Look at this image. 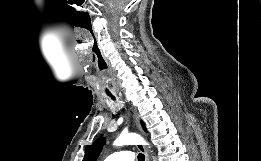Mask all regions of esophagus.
I'll use <instances>...</instances> for the list:
<instances>
[{
	"label": "esophagus",
	"mask_w": 261,
	"mask_h": 161,
	"mask_svg": "<svg viewBox=\"0 0 261 161\" xmlns=\"http://www.w3.org/2000/svg\"><path fill=\"white\" fill-rule=\"evenodd\" d=\"M133 119H134V124H135L136 129H139V121H138L137 116L134 115V116H133ZM137 148H138L141 152L144 153V155H145V161H149V155H148V152H147L145 146L142 145V144H140V145L137 146Z\"/></svg>",
	"instance_id": "obj_1"
}]
</instances>
